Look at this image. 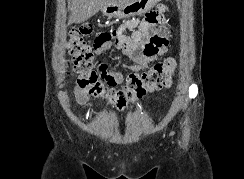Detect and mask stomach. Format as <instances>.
<instances>
[{"label": "stomach", "instance_id": "0dacf381", "mask_svg": "<svg viewBox=\"0 0 244 179\" xmlns=\"http://www.w3.org/2000/svg\"><path fill=\"white\" fill-rule=\"evenodd\" d=\"M157 2L158 0H119V2L109 0L100 10L104 16H109V18H129V16H136V14L138 16V14H141L143 8L148 3Z\"/></svg>", "mask_w": 244, "mask_h": 179}]
</instances>
